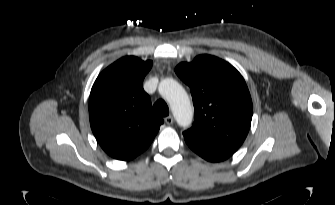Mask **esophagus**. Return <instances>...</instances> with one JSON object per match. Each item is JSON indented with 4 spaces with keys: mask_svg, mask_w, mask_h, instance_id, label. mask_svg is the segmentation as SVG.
I'll return each mask as SVG.
<instances>
[{
    "mask_svg": "<svg viewBox=\"0 0 335 205\" xmlns=\"http://www.w3.org/2000/svg\"><path fill=\"white\" fill-rule=\"evenodd\" d=\"M164 121L167 125H171L174 122V118H173L172 115H169V116L165 117Z\"/></svg>",
    "mask_w": 335,
    "mask_h": 205,
    "instance_id": "esophagus-1",
    "label": "esophagus"
}]
</instances>
